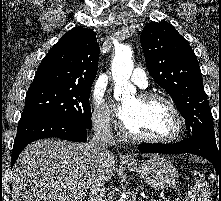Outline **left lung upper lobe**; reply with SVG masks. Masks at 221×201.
I'll use <instances>...</instances> for the list:
<instances>
[{"label":"left lung upper lobe","instance_id":"1","mask_svg":"<svg viewBox=\"0 0 221 201\" xmlns=\"http://www.w3.org/2000/svg\"><path fill=\"white\" fill-rule=\"evenodd\" d=\"M140 40L150 75L177 105L189 134L216 143L199 63L187 40L165 22L148 23Z\"/></svg>","mask_w":221,"mask_h":201}]
</instances>
